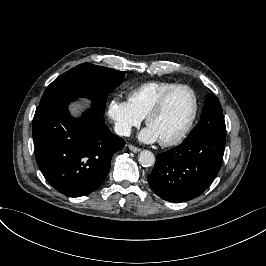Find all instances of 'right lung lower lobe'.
<instances>
[{
  "instance_id": "98d812e1",
  "label": "right lung lower lobe",
  "mask_w": 266,
  "mask_h": 266,
  "mask_svg": "<svg viewBox=\"0 0 266 266\" xmlns=\"http://www.w3.org/2000/svg\"><path fill=\"white\" fill-rule=\"evenodd\" d=\"M77 97L57 95L36 109L32 134L37 164L48 183L68 197L97 189L110 171L112 155L125 141L105 125L94 104L79 119L68 112Z\"/></svg>"
}]
</instances>
